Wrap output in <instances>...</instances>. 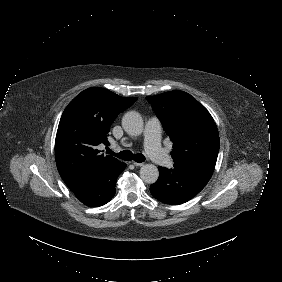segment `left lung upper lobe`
<instances>
[{
  "label": "left lung upper lobe",
  "mask_w": 282,
  "mask_h": 282,
  "mask_svg": "<svg viewBox=\"0 0 282 282\" xmlns=\"http://www.w3.org/2000/svg\"><path fill=\"white\" fill-rule=\"evenodd\" d=\"M165 132L173 142L174 167H215L220 141L210 113L190 94L170 91L147 96Z\"/></svg>",
  "instance_id": "left-lung-upper-lobe-1"
}]
</instances>
